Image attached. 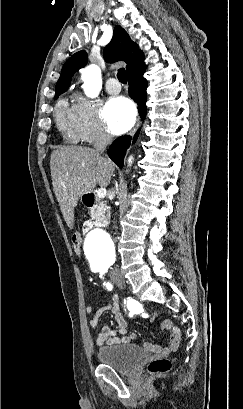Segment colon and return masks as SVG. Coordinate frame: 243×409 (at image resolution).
Returning <instances> with one entry per match:
<instances>
[{
	"label": "colon",
	"instance_id": "5ec220e1",
	"mask_svg": "<svg viewBox=\"0 0 243 409\" xmlns=\"http://www.w3.org/2000/svg\"><path fill=\"white\" fill-rule=\"evenodd\" d=\"M72 245L74 252L77 255H81L82 253V247H81V238L79 235L74 234L72 237ZM156 314L153 313L152 317H154ZM171 361L168 358H157L152 360L147 367V370L150 374L152 375H157V374H162L166 373L171 369Z\"/></svg>",
	"mask_w": 243,
	"mask_h": 409
}]
</instances>
